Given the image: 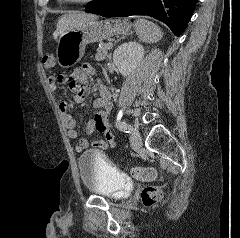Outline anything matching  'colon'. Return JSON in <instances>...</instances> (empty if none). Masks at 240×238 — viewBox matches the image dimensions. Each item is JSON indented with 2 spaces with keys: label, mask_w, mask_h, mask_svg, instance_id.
<instances>
[{
  "label": "colon",
  "mask_w": 240,
  "mask_h": 238,
  "mask_svg": "<svg viewBox=\"0 0 240 238\" xmlns=\"http://www.w3.org/2000/svg\"><path fill=\"white\" fill-rule=\"evenodd\" d=\"M42 65L49 70L55 66V57L51 54L45 55L42 58ZM131 175L139 180H153L156 176V171L150 167H132L129 169ZM162 197V192L159 188L149 186L142 192V201L146 206L156 204Z\"/></svg>",
  "instance_id": "1"
}]
</instances>
